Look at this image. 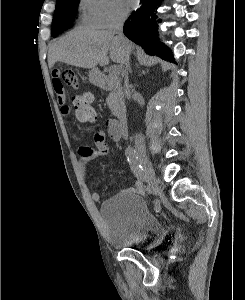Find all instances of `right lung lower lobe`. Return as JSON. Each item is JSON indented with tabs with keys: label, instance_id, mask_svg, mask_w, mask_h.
I'll return each mask as SVG.
<instances>
[{
	"label": "right lung lower lobe",
	"instance_id": "right-lung-lower-lobe-1",
	"mask_svg": "<svg viewBox=\"0 0 245 300\" xmlns=\"http://www.w3.org/2000/svg\"><path fill=\"white\" fill-rule=\"evenodd\" d=\"M140 9L133 12L124 24V34L134 43L142 46L149 55H157L164 60L174 62V57L165 44L157 42L156 7L161 0H141ZM72 27V23L64 27L65 31ZM150 32L153 35H150Z\"/></svg>",
	"mask_w": 245,
	"mask_h": 300
}]
</instances>
